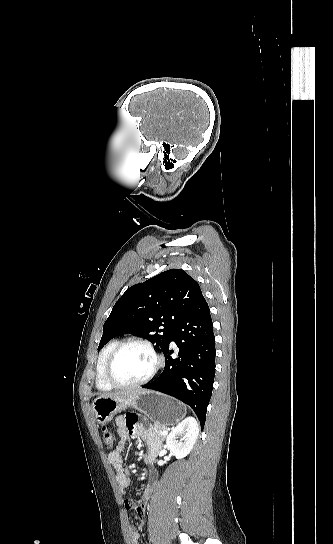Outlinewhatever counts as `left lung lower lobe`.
Listing matches in <instances>:
<instances>
[{
  "label": "left lung lower lobe",
  "mask_w": 333,
  "mask_h": 544,
  "mask_svg": "<svg viewBox=\"0 0 333 544\" xmlns=\"http://www.w3.org/2000/svg\"><path fill=\"white\" fill-rule=\"evenodd\" d=\"M179 348L173 359L171 343ZM165 368L144 388L173 396L196 413L201 428L206 419L215 376V337L209 306L201 295L174 328L169 345L163 351Z\"/></svg>",
  "instance_id": "obj_1"
}]
</instances>
